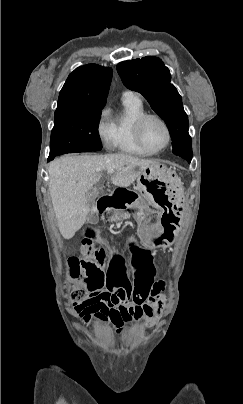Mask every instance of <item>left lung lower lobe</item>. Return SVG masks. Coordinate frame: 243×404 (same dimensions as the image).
Returning a JSON list of instances; mask_svg holds the SVG:
<instances>
[{
    "label": "left lung lower lobe",
    "instance_id": "0a47b994",
    "mask_svg": "<svg viewBox=\"0 0 243 404\" xmlns=\"http://www.w3.org/2000/svg\"><path fill=\"white\" fill-rule=\"evenodd\" d=\"M176 156L186 159L189 163L191 162V159H192V156H188V155H176Z\"/></svg>",
    "mask_w": 243,
    "mask_h": 404
}]
</instances>
